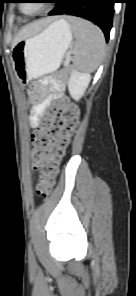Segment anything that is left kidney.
Instances as JSON below:
<instances>
[{"mask_svg": "<svg viewBox=\"0 0 136 296\" xmlns=\"http://www.w3.org/2000/svg\"><path fill=\"white\" fill-rule=\"evenodd\" d=\"M91 80V75L89 73L79 72L73 70L69 81H68V90L70 96L75 100L79 101L84 95L89 83Z\"/></svg>", "mask_w": 136, "mask_h": 296, "instance_id": "5707ae66", "label": "left kidney"}]
</instances>
